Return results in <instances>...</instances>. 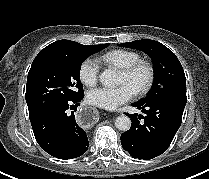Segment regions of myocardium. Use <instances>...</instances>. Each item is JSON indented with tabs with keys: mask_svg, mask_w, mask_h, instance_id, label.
I'll use <instances>...</instances> for the list:
<instances>
[{
	"mask_svg": "<svg viewBox=\"0 0 209 179\" xmlns=\"http://www.w3.org/2000/svg\"><path fill=\"white\" fill-rule=\"evenodd\" d=\"M139 71L145 72L144 82L136 89L138 95H144L150 91L155 80V69L152 63L147 60L139 59L131 65L121 69V72L128 78L134 77Z\"/></svg>",
	"mask_w": 209,
	"mask_h": 179,
	"instance_id": "obj_1",
	"label": "myocardium"
}]
</instances>
